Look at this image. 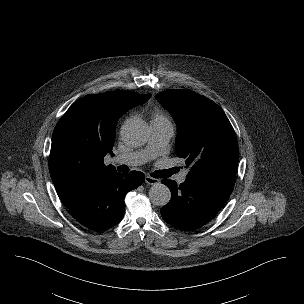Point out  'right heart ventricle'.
<instances>
[{
    "instance_id": "obj_1",
    "label": "right heart ventricle",
    "mask_w": 304,
    "mask_h": 304,
    "mask_svg": "<svg viewBox=\"0 0 304 304\" xmlns=\"http://www.w3.org/2000/svg\"><path fill=\"white\" fill-rule=\"evenodd\" d=\"M152 122L170 123L167 116L161 111H156L153 114Z\"/></svg>"
}]
</instances>
